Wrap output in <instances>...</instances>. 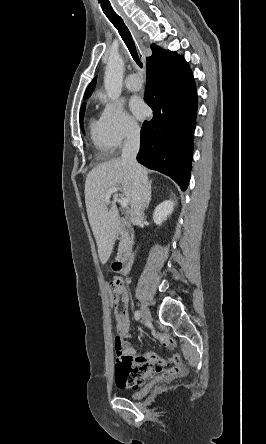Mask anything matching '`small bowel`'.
Instances as JSON below:
<instances>
[{"instance_id": "obj_1", "label": "small bowel", "mask_w": 266, "mask_h": 444, "mask_svg": "<svg viewBox=\"0 0 266 444\" xmlns=\"http://www.w3.org/2000/svg\"><path fill=\"white\" fill-rule=\"evenodd\" d=\"M120 300L125 306L129 304V295L124 286ZM114 321L117 332L114 340L116 350L115 382L118 387L137 389L156 375L162 374L170 379L185 373L178 354L169 359H163L154 353L136 356L134 347L127 340L130 334V320L127 312L115 311ZM158 340L166 348L173 347V341L168 336H159Z\"/></svg>"}]
</instances>
